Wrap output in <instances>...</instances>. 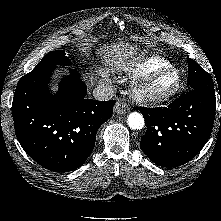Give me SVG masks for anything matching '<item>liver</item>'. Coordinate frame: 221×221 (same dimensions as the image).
Here are the masks:
<instances>
[{"instance_id":"6515ba94","label":"liver","mask_w":221,"mask_h":221,"mask_svg":"<svg viewBox=\"0 0 221 221\" xmlns=\"http://www.w3.org/2000/svg\"><path fill=\"white\" fill-rule=\"evenodd\" d=\"M103 51L106 62L112 70L125 69L137 59L138 55L136 47L124 42L105 46Z\"/></svg>"}]
</instances>
